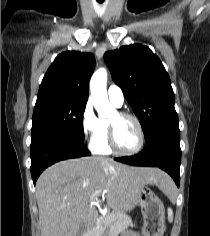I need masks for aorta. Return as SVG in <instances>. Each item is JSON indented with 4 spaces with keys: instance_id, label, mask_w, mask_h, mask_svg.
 Listing matches in <instances>:
<instances>
[{
    "instance_id": "1",
    "label": "aorta",
    "mask_w": 210,
    "mask_h": 236,
    "mask_svg": "<svg viewBox=\"0 0 210 236\" xmlns=\"http://www.w3.org/2000/svg\"><path fill=\"white\" fill-rule=\"evenodd\" d=\"M107 70L99 68L96 70L90 80V92L94 102L95 109L100 117H109L116 110L111 106L107 96Z\"/></svg>"
}]
</instances>
